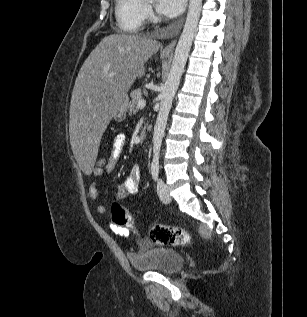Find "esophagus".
<instances>
[{"label":"esophagus","mask_w":307,"mask_h":317,"mask_svg":"<svg viewBox=\"0 0 307 317\" xmlns=\"http://www.w3.org/2000/svg\"><path fill=\"white\" fill-rule=\"evenodd\" d=\"M177 40H173L170 44H168L164 49V53H172L174 51Z\"/></svg>","instance_id":"esophagus-1"}]
</instances>
